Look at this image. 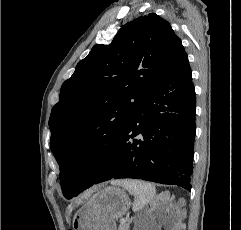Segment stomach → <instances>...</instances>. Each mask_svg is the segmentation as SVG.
I'll list each match as a JSON object with an SVG mask.
<instances>
[{"label": "stomach", "mask_w": 241, "mask_h": 230, "mask_svg": "<svg viewBox=\"0 0 241 230\" xmlns=\"http://www.w3.org/2000/svg\"><path fill=\"white\" fill-rule=\"evenodd\" d=\"M129 207V197L123 189L104 187L75 213L72 230H116V220Z\"/></svg>", "instance_id": "stomach-1"}]
</instances>
